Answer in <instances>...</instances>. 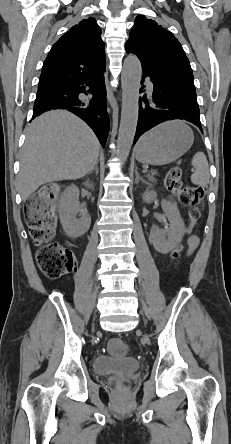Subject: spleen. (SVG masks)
I'll use <instances>...</instances> for the list:
<instances>
[{
	"mask_svg": "<svg viewBox=\"0 0 231 444\" xmlns=\"http://www.w3.org/2000/svg\"><path fill=\"white\" fill-rule=\"evenodd\" d=\"M194 172L191 175V182L196 185H205L210 179L209 165L203 152H197L192 159Z\"/></svg>",
	"mask_w": 231,
	"mask_h": 444,
	"instance_id": "1",
	"label": "spleen"
}]
</instances>
